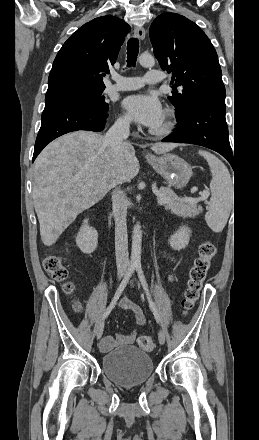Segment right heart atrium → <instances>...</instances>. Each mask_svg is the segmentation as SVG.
<instances>
[{
    "instance_id": "1",
    "label": "right heart atrium",
    "mask_w": 259,
    "mask_h": 440,
    "mask_svg": "<svg viewBox=\"0 0 259 440\" xmlns=\"http://www.w3.org/2000/svg\"><path fill=\"white\" fill-rule=\"evenodd\" d=\"M116 123H117V125L120 126V127H126V126L129 125V119H128V117H127L126 115L121 114V115H119V117L117 118Z\"/></svg>"
}]
</instances>
